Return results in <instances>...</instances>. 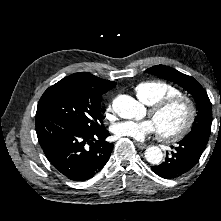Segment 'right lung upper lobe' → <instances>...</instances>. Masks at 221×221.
Instances as JSON below:
<instances>
[{
    "instance_id": "obj_1",
    "label": "right lung upper lobe",
    "mask_w": 221,
    "mask_h": 221,
    "mask_svg": "<svg viewBox=\"0 0 221 221\" xmlns=\"http://www.w3.org/2000/svg\"><path fill=\"white\" fill-rule=\"evenodd\" d=\"M59 83H69L83 87H88L103 94L115 87L116 85L115 82L101 79L86 72L74 73L70 76L63 78L59 81Z\"/></svg>"
}]
</instances>
